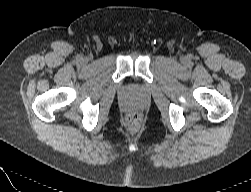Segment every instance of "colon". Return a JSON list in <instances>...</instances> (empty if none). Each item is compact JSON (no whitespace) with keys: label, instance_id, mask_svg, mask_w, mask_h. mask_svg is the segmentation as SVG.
Listing matches in <instances>:
<instances>
[{"label":"colon","instance_id":"colon-1","mask_svg":"<svg viewBox=\"0 0 251 192\" xmlns=\"http://www.w3.org/2000/svg\"><path fill=\"white\" fill-rule=\"evenodd\" d=\"M127 123L131 128H136L140 124L141 117L138 113H130L127 116Z\"/></svg>","mask_w":251,"mask_h":192}]
</instances>
